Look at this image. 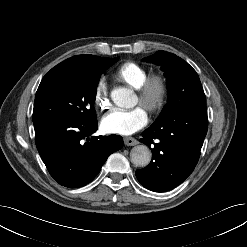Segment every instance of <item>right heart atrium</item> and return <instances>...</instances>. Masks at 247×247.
<instances>
[{"mask_svg": "<svg viewBox=\"0 0 247 247\" xmlns=\"http://www.w3.org/2000/svg\"><path fill=\"white\" fill-rule=\"evenodd\" d=\"M94 103L100 110H105L109 107L108 87L104 79H100L95 86Z\"/></svg>", "mask_w": 247, "mask_h": 247, "instance_id": "d8ad5b80", "label": "right heart atrium"}]
</instances>
